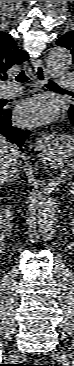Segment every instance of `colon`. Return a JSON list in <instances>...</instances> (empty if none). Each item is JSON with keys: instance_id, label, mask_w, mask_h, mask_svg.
Segmentation results:
<instances>
[{"instance_id": "colon-1", "label": "colon", "mask_w": 74, "mask_h": 366, "mask_svg": "<svg viewBox=\"0 0 74 366\" xmlns=\"http://www.w3.org/2000/svg\"><path fill=\"white\" fill-rule=\"evenodd\" d=\"M31 366H49V365L46 363L37 362L35 365H31Z\"/></svg>"}]
</instances>
